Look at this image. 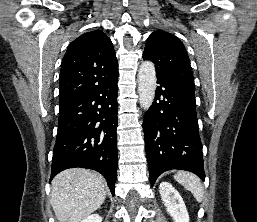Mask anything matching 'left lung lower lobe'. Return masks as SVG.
Here are the masks:
<instances>
[{
  "instance_id": "obj_1",
  "label": "left lung lower lobe",
  "mask_w": 257,
  "mask_h": 222,
  "mask_svg": "<svg viewBox=\"0 0 257 222\" xmlns=\"http://www.w3.org/2000/svg\"><path fill=\"white\" fill-rule=\"evenodd\" d=\"M156 76L159 86L143 121L150 183L171 169L193 172L204 181L195 90L166 75Z\"/></svg>"
}]
</instances>
